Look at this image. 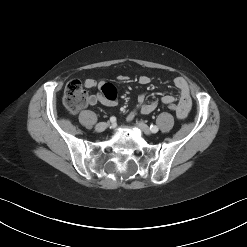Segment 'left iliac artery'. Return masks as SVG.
<instances>
[{
    "instance_id": "obj_1",
    "label": "left iliac artery",
    "mask_w": 247,
    "mask_h": 247,
    "mask_svg": "<svg viewBox=\"0 0 247 247\" xmlns=\"http://www.w3.org/2000/svg\"><path fill=\"white\" fill-rule=\"evenodd\" d=\"M150 130H151L153 133H156V132H158V127L155 126V125H151V126H150Z\"/></svg>"
}]
</instances>
